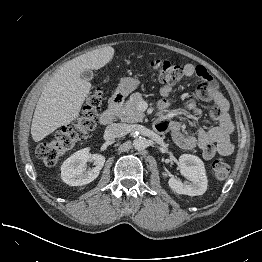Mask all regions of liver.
<instances>
[{
    "label": "liver",
    "instance_id": "1",
    "mask_svg": "<svg viewBox=\"0 0 262 262\" xmlns=\"http://www.w3.org/2000/svg\"><path fill=\"white\" fill-rule=\"evenodd\" d=\"M114 55L111 46L102 47L68 61L47 82L36 105L31 135L39 142L57 128L79 117L91 84L81 78L86 69L98 70Z\"/></svg>",
    "mask_w": 262,
    "mask_h": 262
}]
</instances>
